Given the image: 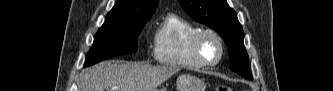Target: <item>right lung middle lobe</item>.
Instances as JSON below:
<instances>
[{
    "label": "right lung middle lobe",
    "instance_id": "obj_1",
    "mask_svg": "<svg viewBox=\"0 0 333 91\" xmlns=\"http://www.w3.org/2000/svg\"><path fill=\"white\" fill-rule=\"evenodd\" d=\"M139 18L131 21L105 20L97 31L84 67L116 55L137 51V38L146 21Z\"/></svg>",
    "mask_w": 333,
    "mask_h": 91
}]
</instances>
